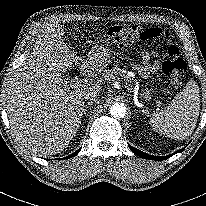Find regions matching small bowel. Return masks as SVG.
Here are the masks:
<instances>
[{
  "mask_svg": "<svg viewBox=\"0 0 206 206\" xmlns=\"http://www.w3.org/2000/svg\"><path fill=\"white\" fill-rule=\"evenodd\" d=\"M143 72L147 73L148 70L151 68L149 65V56L147 54L144 55L143 57Z\"/></svg>",
  "mask_w": 206,
  "mask_h": 206,
  "instance_id": "c3829d8e",
  "label": "small bowel"
}]
</instances>
